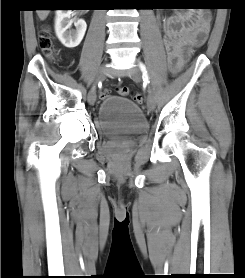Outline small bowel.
Instances as JSON below:
<instances>
[{"label":"small bowel","instance_id":"1","mask_svg":"<svg viewBox=\"0 0 245 278\" xmlns=\"http://www.w3.org/2000/svg\"><path fill=\"white\" fill-rule=\"evenodd\" d=\"M202 13H190L186 17L171 16L162 24L168 65L179 71L186 63L191 50L201 46L208 37ZM102 98H106L102 96Z\"/></svg>","mask_w":245,"mask_h":278}]
</instances>
